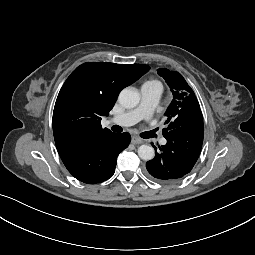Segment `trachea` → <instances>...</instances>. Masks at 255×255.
<instances>
[{"instance_id":"1","label":"trachea","mask_w":255,"mask_h":255,"mask_svg":"<svg viewBox=\"0 0 255 255\" xmlns=\"http://www.w3.org/2000/svg\"><path fill=\"white\" fill-rule=\"evenodd\" d=\"M112 130H113L114 132H122V128H121L120 126H118V125H114V126L112 127Z\"/></svg>"}]
</instances>
